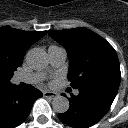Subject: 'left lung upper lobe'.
I'll list each match as a JSON object with an SVG mask.
<instances>
[{
    "instance_id": "left-lung-upper-lobe-1",
    "label": "left lung upper lobe",
    "mask_w": 128,
    "mask_h": 128,
    "mask_svg": "<svg viewBox=\"0 0 128 128\" xmlns=\"http://www.w3.org/2000/svg\"><path fill=\"white\" fill-rule=\"evenodd\" d=\"M62 44L70 59L68 79L76 89L98 83L119 85V60L114 48L101 36L85 28L48 31Z\"/></svg>"
}]
</instances>
